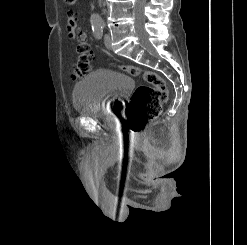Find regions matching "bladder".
Here are the masks:
<instances>
[{
    "label": "bladder",
    "mask_w": 247,
    "mask_h": 245,
    "mask_svg": "<svg viewBox=\"0 0 247 245\" xmlns=\"http://www.w3.org/2000/svg\"><path fill=\"white\" fill-rule=\"evenodd\" d=\"M134 87L131 77L98 69L78 81L72 92L74 110L81 116L99 117L116 112Z\"/></svg>",
    "instance_id": "obj_1"
}]
</instances>
